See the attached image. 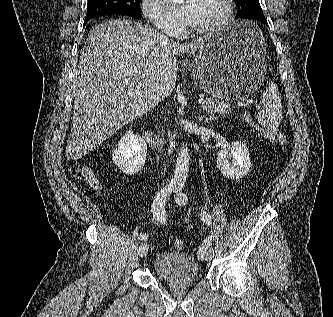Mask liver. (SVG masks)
I'll return each instance as SVG.
<instances>
[{"mask_svg": "<svg viewBox=\"0 0 333 317\" xmlns=\"http://www.w3.org/2000/svg\"><path fill=\"white\" fill-rule=\"evenodd\" d=\"M206 37L179 44L148 25L112 19L92 28L73 78L74 113L65 156L78 160L173 91L176 56Z\"/></svg>", "mask_w": 333, "mask_h": 317, "instance_id": "obj_1", "label": "liver"}]
</instances>
